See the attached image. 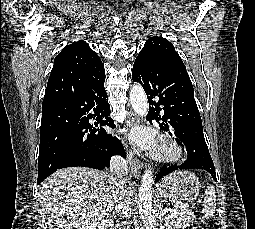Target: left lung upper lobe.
I'll return each instance as SVG.
<instances>
[{
    "instance_id": "left-lung-upper-lobe-1",
    "label": "left lung upper lobe",
    "mask_w": 255,
    "mask_h": 229,
    "mask_svg": "<svg viewBox=\"0 0 255 229\" xmlns=\"http://www.w3.org/2000/svg\"><path fill=\"white\" fill-rule=\"evenodd\" d=\"M136 60L148 63L169 60L186 68L172 43L157 36L146 41Z\"/></svg>"
}]
</instances>
